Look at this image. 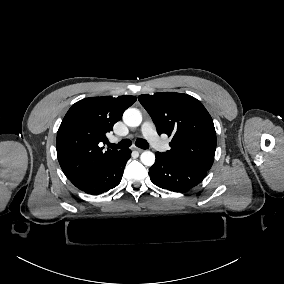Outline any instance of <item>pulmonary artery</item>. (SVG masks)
<instances>
[{
  "mask_svg": "<svg viewBox=\"0 0 284 284\" xmlns=\"http://www.w3.org/2000/svg\"><path fill=\"white\" fill-rule=\"evenodd\" d=\"M155 130L156 125L151 120H146L141 125V133L146 137V141L151 143L154 149H157L160 152H167L169 150V142L164 138H161Z\"/></svg>",
  "mask_w": 284,
  "mask_h": 284,
  "instance_id": "obj_1",
  "label": "pulmonary artery"
}]
</instances>
